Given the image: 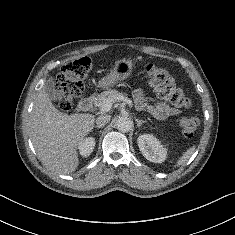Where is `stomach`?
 Wrapping results in <instances>:
<instances>
[{"mask_svg": "<svg viewBox=\"0 0 235 235\" xmlns=\"http://www.w3.org/2000/svg\"><path fill=\"white\" fill-rule=\"evenodd\" d=\"M134 66L132 60L120 59L116 61L110 72L99 80L98 87L107 89L127 79L131 75Z\"/></svg>", "mask_w": 235, "mask_h": 235, "instance_id": "0dacf381", "label": "stomach"}]
</instances>
